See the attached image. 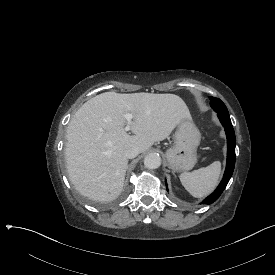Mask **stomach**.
Returning a JSON list of instances; mask_svg holds the SVG:
<instances>
[{"label": "stomach", "instance_id": "stomach-1", "mask_svg": "<svg viewBox=\"0 0 275 275\" xmlns=\"http://www.w3.org/2000/svg\"><path fill=\"white\" fill-rule=\"evenodd\" d=\"M174 147L167 152L169 167L174 171H188L196 163V149L201 141V132L190 114L182 115L174 132Z\"/></svg>", "mask_w": 275, "mask_h": 275}]
</instances>
